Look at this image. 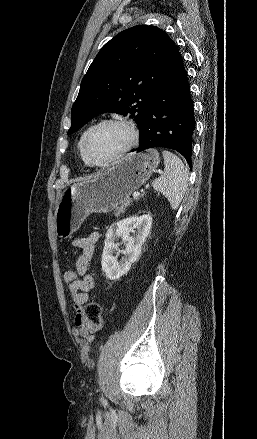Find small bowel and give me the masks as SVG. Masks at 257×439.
Wrapping results in <instances>:
<instances>
[{"label":"small bowel","mask_w":257,"mask_h":439,"mask_svg":"<svg viewBox=\"0 0 257 439\" xmlns=\"http://www.w3.org/2000/svg\"><path fill=\"white\" fill-rule=\"evenodd\" d=\"M99 238L100 235L98 232H92L87 236L79 237L72 241V245L81 250L76 259L77 280L73 285L69 286L73 307L76 309L73 336L83 352H89L91 344L95 341V329L90 323L84 320L82 316V305L87 302L89 293L95 287L94 278L88 273V268L93 259Z\"/></svg>","instance_id":"obj_1"}]
</instances>
